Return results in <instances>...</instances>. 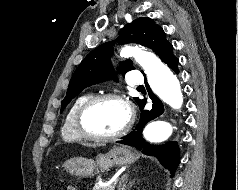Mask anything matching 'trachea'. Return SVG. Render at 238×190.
I'll use <instances>...</instances> for the list:
<instances>
[{"instance_id":"obj_1","label":"trachea","mask_w":238,"mask_h":190,"mask_svg":"<svg viewBox=\"0 0 238 190\" xmlns=\"http://www.w3.org/2000/svg\"><path fill=\"white\" fill-rule=\"evenodd\" d=\"M138 88H144L143 86H139Z\"/></svg>"}]
</instances>
